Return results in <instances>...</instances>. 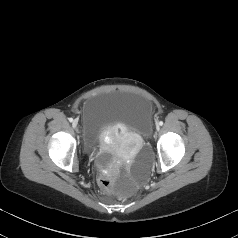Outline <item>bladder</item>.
I'll list each match as a JSON object with an SVG mask.
<instances>
[{"mask_svg":"<svg viewBox=\"0 0 238 238\" xmlns=\"http://www.w3.org/2000/svg\"><path fill=\"white\" fill-rule=\"evenodd\" d=\"M153 106L146 97L126 91H108L88 98L82 109V140L84 148L94 151L103 133L116 124L128 131L147 137L152 128ZM97 168L107 164L103 154L96 158Z\"/></svg>","mask_w":238,"mask_h":238,"instance_id":"bladder-1","label":"bladder"}]
</instances>
